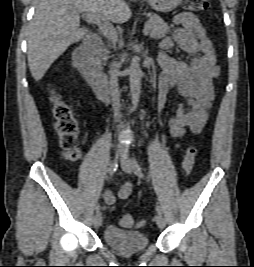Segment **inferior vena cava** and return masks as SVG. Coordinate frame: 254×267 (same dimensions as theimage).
Masks as SVG:
<instances>
[{"instance_id":"inferior-vena-cava-1","label":"inferior vena cava","mask_w":254,"mask_h":267,"mask_svg":"<svg viewBox=\"0 0 254 267\" xmlns=\"http://www.w3.org/2000/svg\"><path fill=\"white\" fill-rule=\"evenodd\" d=\"M117 65L115 62L111 64L110 69V91L112 95V106L116 112L119 111L120 102H119V91H118V82H117Z\"/></svg>"}]
</instances>
